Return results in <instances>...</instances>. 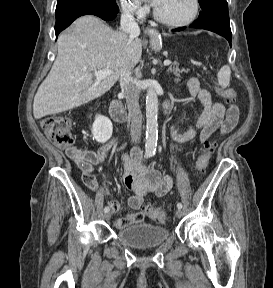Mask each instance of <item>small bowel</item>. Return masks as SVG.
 <instances>
[{
  "label": "small bowel",
  "mask_w": 273,
  "mask_h": 288,
  "mask_svg": "<svg viewBox=\"0 0 273 288\" xmlns=\"http://www.w3.org/2000/svg\"><path fill=\"white\" fill-rule=\"evenodd\" d=\"M189 92L192 96H197L203 105L196 127L184 133H179L172 129L173 139L179 143L192 140L199 133V140L202 143L216 131L220 134L231 132L239 120V109L230 104L225 106L220 102L212 101L210 93L200 87L196 78L188 81ZM109 144H105L97 151L72 147L67 150L68 157L77 164L82 172V180L87 188L92 191L98 189V182L95 177L94 166L101 163L108 152ZM141 153L134 150L132 154H123L124 162V183L132 192L128 203L129 206L137 210L136 213L117 217L114 224L117 228H124L133 224H140L145 219L143 212L144 197L152 193L157 197L165 196L173 186V180L168 175H162L150 166H143L140 162ZM113 213L120 210L121 206L116 201L109 202Z\"/></svg>",
  "instance_id": "c3829d8e"
}]
</instances>
